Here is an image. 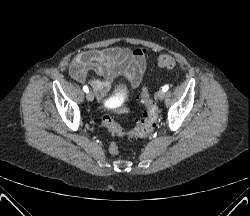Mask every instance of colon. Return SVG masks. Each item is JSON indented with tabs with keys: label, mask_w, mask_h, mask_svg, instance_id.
I'll return each instance as SVG.
<instances>
[{
	"label": "colon",
	"mask_w": 250,
	"mask_h": 216,
	"mask_svg": "<svg viewBox=\"0 0 250 216\" xmlns=\"http://www.w3.org/2000/svg\"><path fill=\"white\" fill-rule=\"evenodd\" d=\"M157 66L162 69L173 70L176 68V62L171 55L161 54L157 59ZM140 100L145 106V112L143 118L131 129L122 128L108 114L102 116V124L110 134L118 137L140 138L147 136L154 130L158 117V108L152 100L147 87L142 89ZM109 151L112 155H118L120 152L118 144L112 142L109 146Z\"/></svg>",
	"instance_id": "5ec220e1"
}]
</instances>
